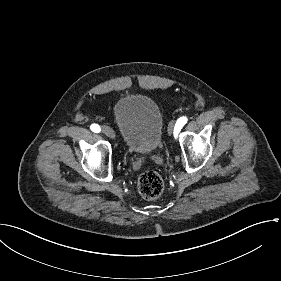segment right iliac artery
I'll return each instance as SVG.
<instances>
[{
    "instance_id": "obj_1",
    "label": "right iliac artery",
    "mask_w": 281,
    "mask_h": 281,
    "mask_svg": "<svg viewBox=\"0 0 281 281\" xmlns=\"http://www.w3.org/2000/svg\"><path fill=\"white\" fill-rule=\"evenodd\" d=\"M91 130H92L93 132L98 133V132H100V126L97 125V124H92V125H91Z\"/></svg>"
}]
</instances>
